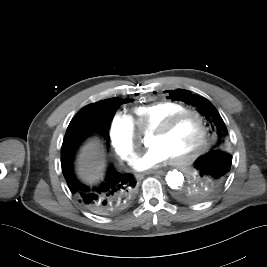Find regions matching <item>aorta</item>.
I'll list each match as a JSON object with an SVG mask.
<instances>
[{
	"label": "aorta",
	"mask_w": 267,
	"mask_h": 267,
	"mask_svg": "<svg viewBox=\"0 0 267 267\" xmlns=\"http://www.w3.org/2000/svg\"><path fill=\"white\" fill-rule=\"evenodd\" d=\"M167 185L172 189L180 188L184 183V175L178 170L169 171L166 175Z\"/></svg>",
	"instance_id": "1"
}]
</instances>
